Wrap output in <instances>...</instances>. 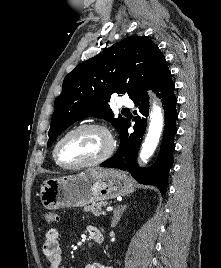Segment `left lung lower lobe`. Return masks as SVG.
Returning a JSON list of instances; mask_svg holds the SVG:
<instances>
[{
    "instance_id": "0a47b994",
    "label": "left lung lower lobe",
    "mask_w": 221,
    "mask_h": 268,
    "mask_svg": "<svg viewBox=\"0 0 221 268\" xmlns=\"http://www.w3.org/2000/svg\"><path fill=\"white\" fill-rule=\"evenodd\" d=\"M174 89L175 85L172 78L169 77L154 90L157 96L161 98L165 112L164 137L156 163L146 169L138 167L136 162L137 152L147 126V117L149 115V96L146 94L133 101L138 107V111L134 112L137 115L133 118V121H135L133 126L134 132L128 134L127 129L131 125L128 121L124 129L119 133L120 145L116 154L101 163V167L127 170L138 182L156 186L163 194L166 192L167 178L173 162V141L178 116L176 112L177 99L174 95ZM123 158L127 159L126 163H124Z\"/></svg>"
}]
</instances>
